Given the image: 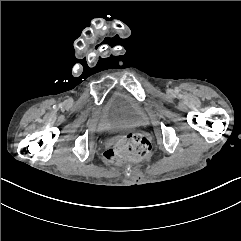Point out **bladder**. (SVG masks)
<instances>
[{
    "label": "bladder",
    "mask_w": 241,
    "mask_h": 241,
    "mask_svg": "<svg viewBox=\"0 0 241 241\" xmlns=\"http://www.w3.org/2000/svg\"><path fill=\"white\" fill-rule=\"evenodd\" d=\"M141 119L139 106L125 93L113 95L105 109V120L111 125H133Z\"/></svg>",
    "instance_id": "obj_1"
}]
</instances>
